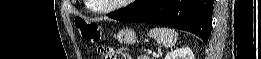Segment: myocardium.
I'll use <instances>...</instances> for the list:
<instances>
[{"label": "myocardium", "mask_w": 261, "mask_h": 59, "mask_svg": "<svg viewBox=\"0 0 261 59\" xmlns=\"http://www.w3.org/2000/svg\"><path fill=\"white\" fill-rule=\"evenodd\" d=\"M128 2V0H121V2L109 7V8H106V9H97V8H93L92 7V10L97 12V13H101V14H107V13H111L119 8H121L123 6L124 3Z\"/></svg>", "instance_id": "f54148a6"}]
</instances>
